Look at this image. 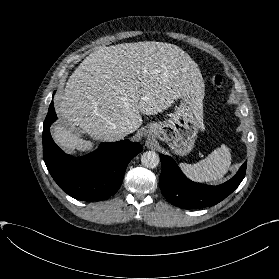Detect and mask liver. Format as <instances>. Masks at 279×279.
<instances>
[{"instance_id":"liver-1","label":"liver","mask_w":279,"mask_h":279,"mask_svg":"<svg viewBox=\"0 0 279 279\" xmlns=\"http://www.w3.org/2000/svg\"><path fill=\"white\" fill-rule=\"evenodd\" d=\"M181 96L202 108L200 69L178 46L145 41L101 47L81 62L56 98V112L66 123L56 125L52 136L65 151H89L94 144L80 138L77 128L93 140L119 141L122 127L136 131L141 114H158Z\"/></svg>"}]
</instances>
